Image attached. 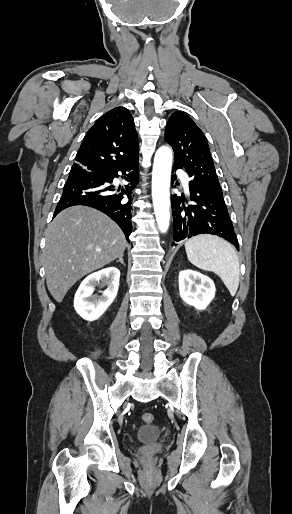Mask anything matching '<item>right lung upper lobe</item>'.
<instances>
[{"label": "right lung upper lobe", "mask_w": 292, "mask_h": 514, "mask_svg": "<svg viewBox=\"0 0 292 514\" xmlns=\"http://www.w3.org/2000/svg\"><path fill=\"white\" fill-rule=\"evenodd\" d=\"M139 142L128 109L116 107L88 130L70 173L106 172L138 159Z\"/></svg>", "instance_id": "obj_1"}]
</instances>
